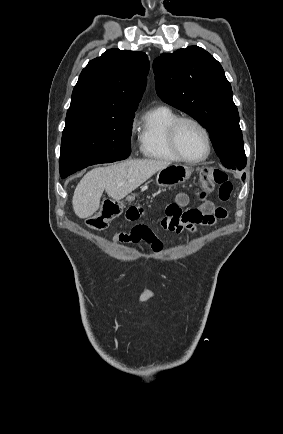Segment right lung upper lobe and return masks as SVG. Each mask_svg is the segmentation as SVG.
Here are the masks:
<instances>
[{"label":"right lung upper lobe","mask_w":283,"mask_h":434,"mask_svg":"<svg viewBox=\"0 0 283 434\" xmlns=\"http://www.w3.org/2000/svg\"><path fill=\"white\" fill-rule=\"evenodd\" d=\"M147 55L112 48L82 70L66 120L135 115L146 87Z\"/></svg>","instance_id":"1"}]
</instances>
